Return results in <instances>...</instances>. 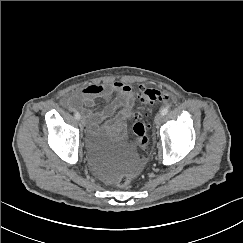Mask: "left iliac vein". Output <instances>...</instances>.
<instances>
[{"label": "left iliac vein", "instance_id": "4c4485c4", "mask_svg": "<svg viewBox=\"0 0 243 243\" xmlns=\"http://www.w3.org/2000/svg\"><path fill=\"white\" fill-rule=\"evenodd\" d=\"M162 119H163V115L161 113L156 114V116H155V124L157 126H159L161 121H162Z\"/></svg>", "mask_w": 243, "mask_h": 243}]
</instances>
